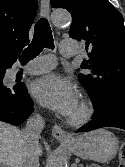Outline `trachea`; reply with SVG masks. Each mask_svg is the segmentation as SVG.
<instances>
[{"mask_svg": "<svg viewBox=\"0 0 125 167\" xmlns=\"http://www.w3.org/2000/svg\"><path fill=\"white\" fill-rule=\"evenodd\" d=\"M54 48L52 31L46 19L37 22L34 31V38L31 44L26 48L19 57L21 64H27L40 54L43 48Z\"/></svg>", "mask_w": 125, "mask_h": 167, "instance_id": "trachea-1", "label": "trachea"}]
</instances>
